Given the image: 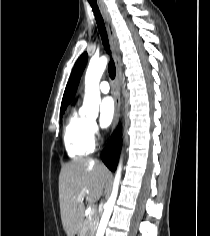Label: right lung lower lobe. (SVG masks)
Listing matches in <instances>:
<instances>
[{"label": "right lung lower lobe", "mask_w": 210, "mask_h": 236, "mask_svg": "<svg viewBox=\"0 0 210 236\" xmlns=\"http://www.w3.org/2000/svg\"><path fill=\"white\" fill-rule=\"evenodd\" d=\"M121 144H122L121 131L120 128H117L110 142L107 144V146L105 147V149L101 154L103 162L112 171L116 170L120 155Z\"/></svg>", "instance_id": "right-lung-lower-lobe-1"}]
</instances>
